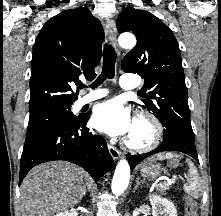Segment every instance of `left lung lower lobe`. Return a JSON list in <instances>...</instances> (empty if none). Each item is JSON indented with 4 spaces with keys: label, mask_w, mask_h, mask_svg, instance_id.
Segmentation results:
<instances>
[{
    "label": "left lung lower lobe",
    "mask_w": 221,
    "mask_h": 216,
    "mask_svg": "<svg viewBox=\"0 0 221 216\" xmlns=\"http://www.w3.org/2000/svg\"><path fill=\"white\" fill-rule=\"evenodd\" d=\"M164 151L183 152L194 158L197 162H199L197 151L195 148L194 138H190L177 132H173L169 136L164 135L163 142L156 149L142 155L127 154V159L133 170L134 167L143 159Z\"/></svg>",
    "instance_id": "0a47b994"
}]
</instances>
